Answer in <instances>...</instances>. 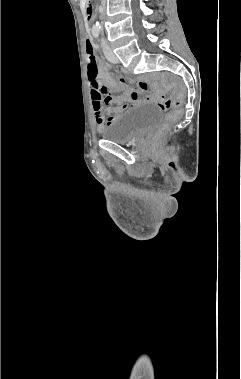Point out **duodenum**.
<instances>
[{
	"instance_id": "1",
	"label": "duodenum",
	"mask_w": 241,
	"mask_h": 379,
	"mask_svg": "<svg viewBox=\"0 0 241 379\" xmlns=\"http://www.w3.org/2000/svg\"><path fill=\"white\" fill-rule=\"evenodd\" d=\"M86 11H87V15L89 16V18L91 17V14H92V5H91V2L90 0H86Z\"/></svg>"
}]
</instances>
